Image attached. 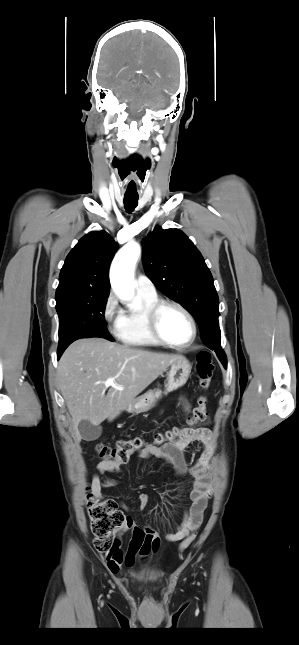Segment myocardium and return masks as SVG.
Returning <instances> with one entry per match:
<instances>
[{
	"label": "myocardium",
	"mask_w": 299,
	"mask_h": 645,
	"mask_svg": "<svg viewBox=\"0 0 299 645\" xmlns=\"http://www.w3.org/2000/svg\"><path fill=\"white\" fill-rule=\"evenodd\" d=\"M167 307H174L179 309L189 320L192 328L190 339L184 343H175L167 340L160 330V317L163 310ZM147 323L151 334L160 343L172 348H185L190 346L197 336V324L192 313L181 303L173 300H158L153 304L147 312Z\"/></svg>",
	"instance_id": "myocardium-1"
}]
</instances>
